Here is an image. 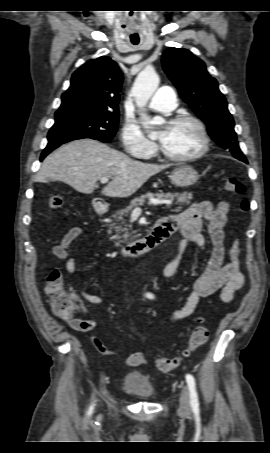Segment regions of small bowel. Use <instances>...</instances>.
Here are the masks:
<instances>
[{"label": "small bowel", "mask_w": 270, "mask_h": 453, "mask_svg": "<svg viewBox=\"0 0 270 453\" xmlns=\"http://www.w3.org/2000/svg\"><path fill=\"white\" fill-rule=\"evenodd\" d=\"M228 211L229 204L227 202L223 201L214 205L208 201H202L193 203L180 213L162 219L182 233V240L161 273L162 278L168 279L175 274L181 257L189 244H195L202 250L207 247V241L202 234L204 224H206L211 244L210 257L203 272L194 282L193 291L188 295L184 305L173 312L171 321L178 322L186 319L194 313L201 297L212 295L219 290H221V300L224 303H229L235 293L243 286L245 278L239 268L240 246L237 239L232 241L229 248V261L224 263L226 255L225 227L228 221ZM82 234L81 227L70 228L63 235L60 243L55 245L52 250L53 255L60 262H64L65 269L69 274L76 271L77 265V258L70 256L71 245ZM74 297L78 301L76 313L79 312L84 317H78L75 314L60 317L74 330L80 332L94 330L97 322L86 318L87 309L80 302V299H84L92 305H100L103 303V298L85 290H80L79 294L74 295ZM92 341L100 352L107 355L111 354L97 337L92 336ZM126 363L132 367L143 366L147 364V358L143 352L138 351L129 356Z\"/></svg>", "instance_id": "1"}]
</instances>
